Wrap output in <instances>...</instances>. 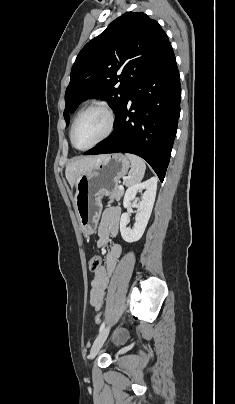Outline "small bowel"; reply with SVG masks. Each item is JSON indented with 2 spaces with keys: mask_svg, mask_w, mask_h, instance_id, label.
I'll return each instance as SVG.
<instances>
[{
  "mask_svg": "<svg viewBox=\"0 0 235 404\" xmlns=\"http://www.w3.org/2000/svg\"><path fill=\"white\" fill-rule=\"evenodd\" d=\"M121 211L119 208H112L104 212L98 227L99 247H104L109 242V236H116L120 227ZM122 253V246L114 242L106 253L105 265L94 271L91 281L90 304L96 311H99L104 302V295L108 288L111 274L116 268L119 257Z\"/></svg>",
  "mask_w": 235,
  "mask_h": 404,
  "instance_id": "small-bowel-1",
  "label": "small bowel"
}]
</instances>
